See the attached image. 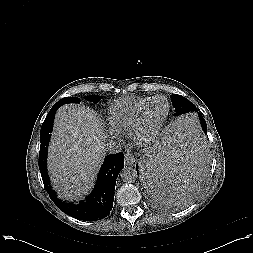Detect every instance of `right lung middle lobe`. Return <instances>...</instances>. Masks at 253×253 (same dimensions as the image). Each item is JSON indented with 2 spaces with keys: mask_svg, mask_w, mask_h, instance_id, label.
Segmentation results:
<instances>
[{
  "mask_svg": "<svg viewBox=\"0 0 253 253\" xmlns=\"http://www.w3.org/2000/svg\"><path fill=\"white\" fill-rule=\"evenodd\" d=\"M85 99L96 104L101 100V97L86 96ZM67 103H80V99L77 97H65V98H62L60 101H58L56 104L62 106ZM51 132L52 130H46L45 127H42L41 132H40V141L43 142L44 140H49L51 136L50 134Z\"/></svg>",
  "mask_w": 253,
  "mask_h": 253,
  "instance_id": "right-lung-middle-lobe-1",
  "label": "right lung middle lobe"
}]
</instances>
